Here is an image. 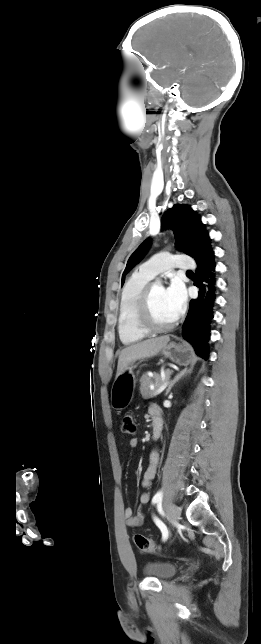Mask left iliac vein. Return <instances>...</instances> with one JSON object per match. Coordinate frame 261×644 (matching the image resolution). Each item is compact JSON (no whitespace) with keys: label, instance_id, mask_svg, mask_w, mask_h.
I'll return each instance as SVG.
<instances>
[{"label":"left iliac vein","instance_id":"left-iliac-vein-1","mask_svg":"<svg viewBox=\"0 0 261 644\" xmlns=\"http://www.w3.org/2000/svg\"><path fill=\"white\" fill-rule=\"evenodd\" d=\"M166 512L168 517L173 521V522H178L181 516V510L180 508L175 505V504H168L166 506Z\"/></svg>","mask_w":261,"mask_h":644}]
</instances>
